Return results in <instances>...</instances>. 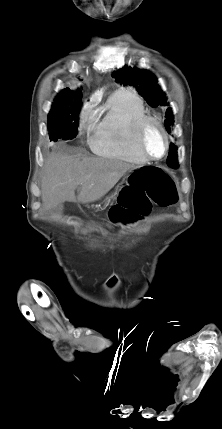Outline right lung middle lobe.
Here are the masks:
<instances>
[{
  "label": "right lung middle lobe",
  "instance_id": "1",
  "mask_svg": "<svg viewBox=\"0 0 222 429\" xmlns=\"http://www.w3.org/2000/svg\"><path fill=\"white\" fill-rule=\"evenodd\" d=\"M81 90L58 94L48 115L50 141L73 139L78 134Z\"/></svg>",
  "mask_w": 222,
  "mask_h": 429
}]
</instances>
